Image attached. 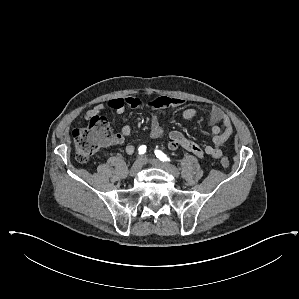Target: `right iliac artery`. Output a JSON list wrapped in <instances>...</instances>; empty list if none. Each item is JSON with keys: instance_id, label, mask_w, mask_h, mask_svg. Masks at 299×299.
<instances>
[{"instance_id": "right-iliac-artery-1", "label": "right iliac artery", "mask_w": 299, "mask_h": 299, "mask_svg": "<svg viewBox=\"0 0 299 299\" xmlns=\"http://www.w3.org/2000/svg\"><path fill=\"white\" fill-rule=\"evenodd\" d=\"M138 152H139L140 155H143L146 152V146L145 145H141L138 148Z\"/></svg>"}]
</instances>
